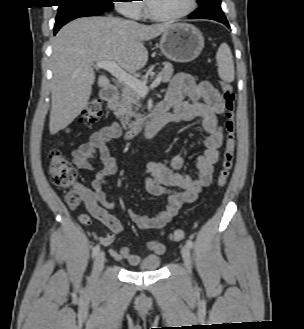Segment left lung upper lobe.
I'll use <instances>...</instances> for the list:
<instances>
[{
    "mask_svg": "<svg viewBox=\"0 0 304 329\" xmlns=\"http://www.w3.org/2000/svg\"><path fill=\"white\" fill-rule=\"evenodd\" d=\"M201 1H203V0H197L198 3H200Z\"/></svg>",
    "mask_w": 304,
    "mask_h": 329,
    "instance_id": "obj_1",
    "label": "left lung upper lobe"
}]
</instances>
